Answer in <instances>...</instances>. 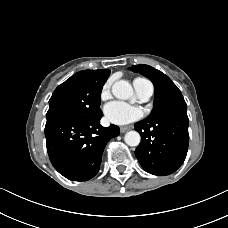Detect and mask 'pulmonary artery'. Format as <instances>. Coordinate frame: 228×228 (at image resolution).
Wrapping results in <instances>:
<instances>
[{"label": "pulmonary artery", "instance_id": "e3ab8cb5", "mask_svg": "<svg viewBox=\"0 0 228 228\" xmlns=\"http://www.w3.org/2000/svg\"><path fill=\"white\" fill-rule=\"evenodd\" d=\"M139 97L143 100L148 99L153 94V86L150 82L144 83L141 87L136 89Z\"/></svg>", "mask_w": 228, "mask_h": 228}]
</instances>
